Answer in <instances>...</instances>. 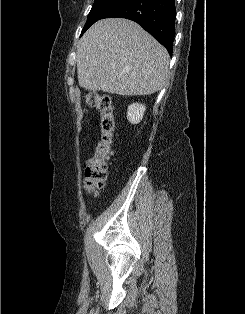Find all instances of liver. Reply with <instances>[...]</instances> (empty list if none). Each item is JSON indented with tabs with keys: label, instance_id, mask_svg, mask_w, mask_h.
<instances>
[{
	"label": "liver",
	"instance_id": "liver-1",
	"mask_svg": "<svg viewBox=\"0 0 245 314\" xmlns=\"http://www.w3.org/2000/svg\"><path fill=\"white\" fill-rule=\"evenodd\" d=\"M169 60L167 50L137 23L102 19L78 43V83L88 91L150 95L165 86Z\"/></svg>",
	"mask_w": 245,
	"mask_h": 314
}]
</instances>
